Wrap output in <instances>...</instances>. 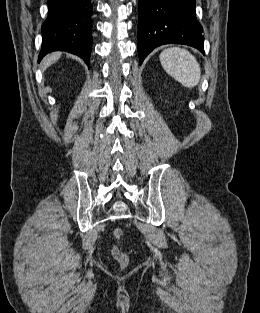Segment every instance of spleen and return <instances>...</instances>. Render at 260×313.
<instances>
[{
    "instance_id": "1",
    "label": "spleen",
    "mask_w": 260,
    "mask_h": 313,
    "mask_svg": "<svg viewBox=\"0 0 260 313\" xmlns=\"http://www.w3.org/2000/svg\"><path fill=\"white\" fill-rule=\"evenodd\" d=\"M159 58L163 69L184 87L193 88L198 85L200 65L189 51L171 47L162 51Z\"/></svg>"
}]
</instances>
